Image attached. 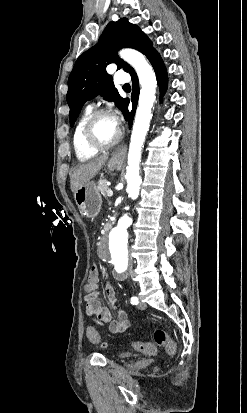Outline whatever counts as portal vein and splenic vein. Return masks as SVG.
Listing matches in <instances>:
<instances>
[{
	"mask_svg": "<svg viewBox=\"0 0 247 413\" xmlns=\"http://www.w3.org/2000/svg\"><path fill=\"white\" fill-rule=\"evenodd\" d=\"M107 194H108V196H113V190H110V188H108Z\"/></svg>",
	"mask_w": 247,
	"mask_h": 413,
	"instance_id": "1",
	"label": "portal vein and splenic vein"
}]
</instances>
